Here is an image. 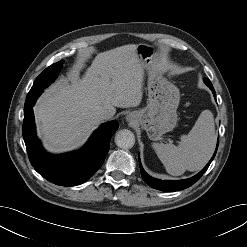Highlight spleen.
<instances>
[{
  "mask_svg": "<svg viewBox=\"0 0 247 247\" xmlns=\"http://www.w3.org/2000/svg\"><path fill=\"white\" fill-rule=\"evenodd\" d=\"M216 141L213 114L204 110L192 130L181 136L178 146L163 143L152 146L167 172L181 175L186 170L197 171L204 167L214 152Z\"/></svg>",
  "mask_w": 247,
  "mask_h": 247,
  "instance_id": "spleen-1",
  "label": "spleen"
}]
</instances>
